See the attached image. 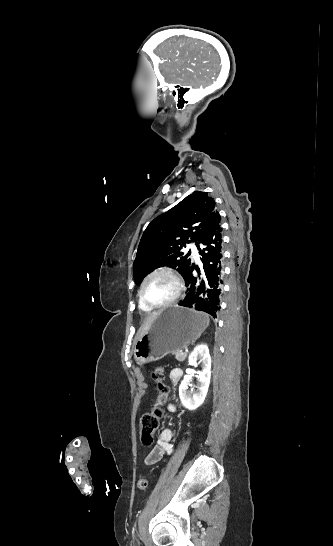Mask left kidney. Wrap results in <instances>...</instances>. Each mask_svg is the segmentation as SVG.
I'll list each match as a JSON object with an SVG mask.
<instances>
[{"label": "left kidney", "instance_id": "left-kidney-1", "mask_svg": "<svg viewBox=\"0 0 333 546\" xmlns=\"http://www.w3.org/2000/svg\"><path fill=\"white\" fill-rule=\"evenodd\" d=\"M198 360L202 365V369L198 371L197 391L195 393H189L187 392V388L190 385L193 373H195L193 368L197 366ZM188 363L192 369L184 376V379L179 386V397L185 408L195 410L204 402L210 384L211 357L208 346L205 344L196 346L189 356Z\"/></svg>", "mask_w": 333, "mask_h": 546}]
</instances>
